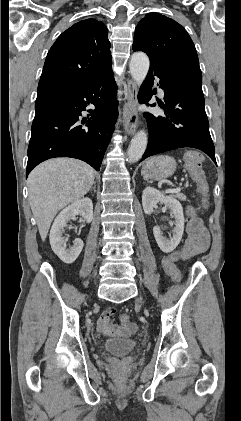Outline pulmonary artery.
<instances>
[{
    "instance_id": "e3ab8cb5",
    "label": "pulmonary artery",
    "mask_w": 241,
    "mask_h": 421,
    "mask_svg": "<svg viewBox=\"0 0 241 421\" xmlns=\"http://www.w3.org/2000/svg\"><path fill=\"white\" fill-rule=\"evenodd\" d=\"M158 92H159V94H160L161 96H163V95H164V91H163V89L158 88Z\"/></svg>"
}]
</instances>
